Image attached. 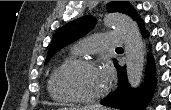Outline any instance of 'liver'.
<instances>
[{"label": "liver", "instance_id": "liver-1", "mask_svg": "<svg viewBox=\"0 0 171 110\" xmlns=\"http://www.w3.org/2000/svg\"><path fill=\"white\" fill-rule=\"evenodd\" d=\"M66 110H73V109H67V108H65ZM92 109H94V110H101L102 109V107H100V106H94V107H85V108H82V110H92Z\"/></svg>", "mask_w": 171, "mask_h": 110}]
</instances>
